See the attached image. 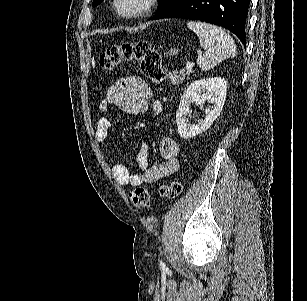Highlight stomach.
Returning <instances> with one entry per match:
<instances>
[{
  "mask_svg": "<svg viewBox=\"0 0 307 301\" xmlns=\"http://www.w3.org/2000/svg\"><path fill=\"white\" fill-rule=\"evenodd\" d=\"M178 52H179V48H170V50H168L166 54H168V56H171V54H178Z\"/></svg>",
  "mask_w": 307,
  "mask_h": 301,
  "instance_id": "obj_1",
  "label": "stomach"
}]
</instances>
